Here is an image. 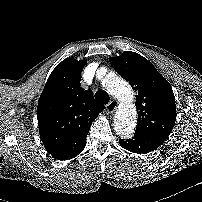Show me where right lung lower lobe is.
Here are the masks:
<instances>
[{"instance_id":"1","label":"right lung lower lobe","mask_w":202,"mask_h":202,"mask_svg":"<svg viewBox=\"0 0 202 202\" xmlns=\"http://www.w3.org/2000/svg\"><path fill=\"white\" fill-rule=\"evenodd\" d=\"M85 146H86V140H85ZM85 146L83 147V149L85 148ZM83 149H82V150H83ZM82 150H81V151H82ZM81 151H80V152H81ZM80 152H79V153H80Z\"/></svg>"}]
</instances>
